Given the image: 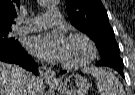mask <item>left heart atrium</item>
Wrapping results in <instances>:
<instances>
[{
	"mask_svg": "<svg viewBox=\"0 0 135 95\" xmlns=\"http://www.w3.org/2000/svg\"><path fill=\"white\" fill-rule=\"evenodd\" d=\"M68 40L59 32H47L30 37L27 49L37 57L48 61H62Z\"/></svg>",
	"mask_w": 135,
	"mask_h": 95,
	"instance_id": "39dd6f15",
	"label": "left heart atrium"
}]
</instances>
